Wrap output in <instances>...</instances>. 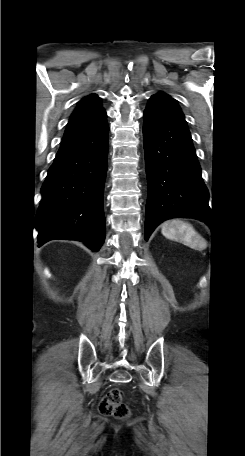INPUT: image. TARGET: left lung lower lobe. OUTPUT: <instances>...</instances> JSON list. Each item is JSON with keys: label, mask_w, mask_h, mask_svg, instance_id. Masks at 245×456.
Masks as SVG:
<instances>
[{"label": "left lung lower lobe", "mask_w": 245, "mask_h": 456, "mask_svg": "<svg viewBox=\"0 0 245 456\" xmlns=\"http://www.w3.org/2000/svg\"><path fill=\"white\" fill-rule=\"evenodd\" d=\"M143 141L148 181L145 240L170 218L206 221L209 193L184 114L173 99L150 98Z\"/></svg>", "instance_id": "0a47b994"}]
</instances>
